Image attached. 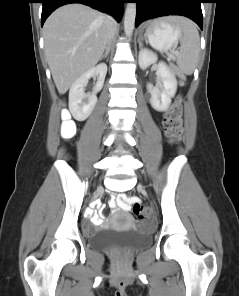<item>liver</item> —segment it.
Masks as SVG:
<instances>
[{"label": "liver", "instance_id": "1", "mask_svg": "<svg viewBox=\"0 0 239 296\" xmlns=\"http://www.w3.org/2000/svg\"><path fill=\"white\" fill-rule=\"evenodd\" d=\"M107 31V16L82 4L62 6L48 17L43 27L44 49L60 94L101 59Z\"/></svg>", "mask_w": 239, "mask_h": 296}]
</instances>
